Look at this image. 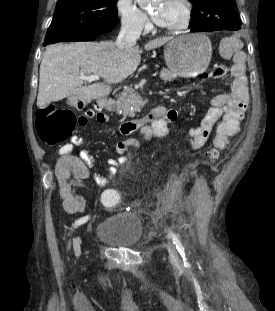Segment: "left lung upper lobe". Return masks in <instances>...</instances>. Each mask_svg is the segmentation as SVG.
Instances as JSON below:
<instances>
[{
    "instance_id": "1",
    "label": "left lung upper lobe",
    "mask_w": 275,
    "mask_h": 311,
    "mask_svg": "<svg viewBox=\"0 0 275 311\" xmlns=\"http://www.w3.org/2000/svg\"><path fill=\"white\" fill-rule=\"evenodd\" d=\"M194 8L191 12L190 28L216 27L224 30H239L241 21L233 0H189Z\"/></svg>"
}]
</instances>
